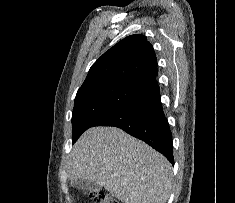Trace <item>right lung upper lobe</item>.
Segmentation results:
<instances>
[{
  "label": "right lung upper lobe",
  "mask_w": 235,
  "mask_h": 203,
  "mask_svg": "<svg viewBox=\"0 0 235 203\" xmlns=\"http://www.w3.org/2000/svg\"><path fill=\"white\" fill-rule=\"evenodd\" d=\"M157 74L152 45L143 35L135 34L105 52L91 66L80 89L108 82H129L150 88L157 84Z\"/></svg>",
  "instance_id": "1"
}]
</instances>
